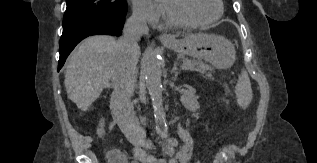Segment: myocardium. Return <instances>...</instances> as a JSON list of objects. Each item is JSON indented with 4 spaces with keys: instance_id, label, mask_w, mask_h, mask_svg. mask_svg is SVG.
<instances>
[{
    "instance_id": "myocardium-1",
    "label": "myocardium",
    "mask_w": 317,
    "mask_h": 163,
    "mask_svg": "<svg viewBox=\"0 0 317 163\" xmlns=\"http://www.w3.org/2000/svg\"><path fill=\"white\" fill-rule=\"evenodd\" d=\"M218 5L217 14L207 20H199V21H185L174 14V12L170 9V7L162 1L163 12L166 17L168 23L173 26L182 27V28H195L200 26H206L217 22L224 12L223 0H216Z\"/></svg>"
}]
</instances>
